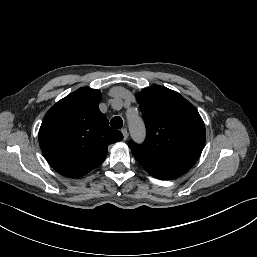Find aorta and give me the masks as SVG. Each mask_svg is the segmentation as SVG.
Returning a JSON list of instances; mask_svg holds the SVG:
<instances>
[{
	"label": "aorta",
	"instance_id": "aorta-1",
	"mask_svg": "<svg viewBox=\"0 0 257 257\" xmlns=\"http://www.w3.org/2000/svg\"><path fill=\"white\" fill-rule=\"evenodd\" d=\"M128 122H129L130 129L132 131V134L135 137L140 136L143 132V126H142L141 119L138 116L130 117L128 119Z\"/></svg>",
	"mask_w": 257,
	"mask_h": 257
}]
</instances>
